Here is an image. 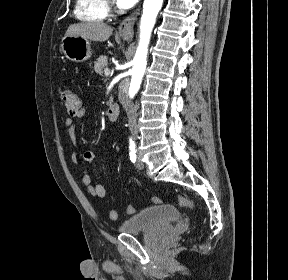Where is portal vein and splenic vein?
I'll return each instance as SVG.
<instances>
[{
	"instance_id": "1",
	"label": "portal vein and splenic vein",
	"mask_w": 288,
	"mask_h": 280,
	"mask_svg": "<svg viewBox=\"0 0 288 280\" xmlns=\"http://www.w3.org/2000/svg\"><path fill=\"white\" fill-rule=\"evenodd\" d=\"M109 74H110V70L109 69H105L104 70V75L107 77V76H109Z\"/></svg>"
}]
</instances>
